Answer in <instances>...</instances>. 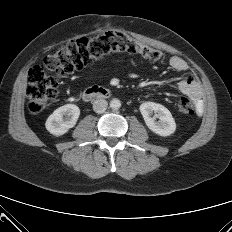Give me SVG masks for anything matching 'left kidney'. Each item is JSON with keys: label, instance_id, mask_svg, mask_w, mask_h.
Listing matches in <instances>:
<instances>
[{"label": "left kidney", "instance_id": "obj_1", "mask_svg": "<svg viewBox=\"0 0 232 232\" xmlns=\"http://www.w3.org/2000/svg\"><path fill=\"white\" fill-rule=\"evenodd\" d=\"M139 109L147 127L154 133L166 137L175 132V120L171 112L163 105L154 102H145L140 105ZM153 112L155 116L151 117ZM156 118L159 120L156 121Z\"/></svg>", "mask_w": 232, "mask_h": 232}]
</instances>
